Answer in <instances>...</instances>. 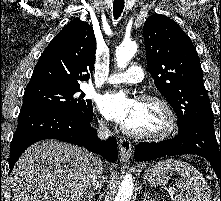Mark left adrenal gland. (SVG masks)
<instances>
[{
	"label": "left adrenal gland",
	"instance_id": "a2214340",
	"mask_svg": "<svg viewBox=\"0 0 221 201\" xmlns=\"http://www.w3.org/2000/svg\"><path fill=\"white\" fill-rule=\"evenodd\" d=\"M144 201H151L149 194H146V197H145Z\"/></svg>",
	"mask_w": 221,
	"mask_h": 201
}]
</instances>
